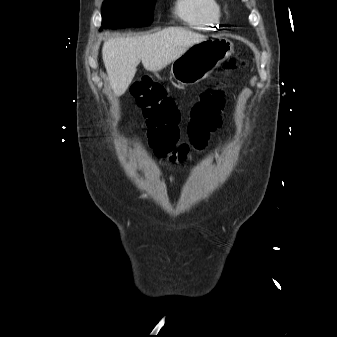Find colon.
<instances>
[{
	"mask_svg": "<svg viewBox=\"0 0 337 337\" xmlns=\"http://www.w3.org/2000/svg\"><path fill=\"white\" fill-rule=\"evenodd\" d=\"M242 65L233 58L225 63V71H233ZM131 95L148 127V141L157 157L172 162L184 161L192 151L204 150L211 135L221 125L224 109V93L218 87L207 86L193 106L188 124V139L180 141V113L175 100L163 86L149 75H143L131 85Z\"/></svg>",
	"mask_w": 337,
	"mask_h": 337,
	"instance_id": "obj_1",
	"label": "colon"
}]
</instances>
